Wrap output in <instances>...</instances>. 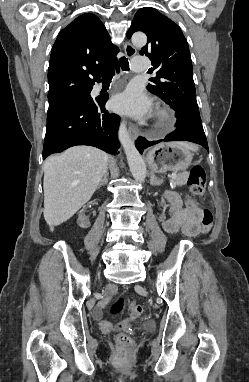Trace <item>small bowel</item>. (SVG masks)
Segmentation results:
<instances>
[{
    "label": "small bowel",
    "instance_id": "1",
    "mask_svg": "<svg viewBox=\"0 0 249 382\" xmlns=\"http://www.w3.org/2000/svg\"><path fill=\"white\" fill-rule=\"evenodd\" d=\"M167 200L170 205L171 216L163 221L164 229L171 234L181 231L189 237L198 235L200 233L202 210L183 207L179 196L173 193L167 195ZM114 292L115 287L110 285L106 294L110 296Z\"/></svg>",
    "mask_w": 249,
    "mask_h": 382
}]
</instances>
